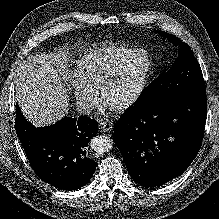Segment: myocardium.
I'll list each match as a JSON object with an SVG mask.
<instances>
[{
    "mask_svg": "<svg viewBox=\"0 0 219 219\" xmlns=\"http://www.w3.org/2000/svg\"><path fill=\"white\" fill-rule=\"evenodd\" d=\"M143 54L148 58L149 65L147 68L146 73L144 74L139 86L137 87L136 91L126 100L119 102V103H111L108 105L115 111H125L133 107L143 96L145 93L150 79L154 73V60L152 55L145 49L142 48H135L132 51L128 52L127 54L123 55L120 57L106 72V74L103 76L100 84H99V93L101 98L104 100V96L106 93L107 88L113 81L114 77L117 75L118 71L122 67V65L128 61L129 59L139 55Z\"/></svg>",
    "mask_w": 219,
    "mask_h": 219,
    "instance_id": "f54148a6",
    "label": "myocardium"
}]
</instances>
